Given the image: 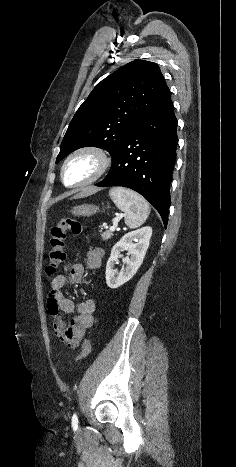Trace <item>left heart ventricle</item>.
Here are the masks:
<instances>
[{
	"label": "left heart ventricle",
	"mask_w": 236,
	"mask_h": 467,
	"mask_svg": "<svg viewBox=\"0 0 236 467\" xmlns=\"http://www.w3.org/2000/svg\"><path fill=\"white\" fill-rule=\"evenodd\" d=\"M99 167L98 160L91 154L74 157L65 168V181L68 184L80 183L91 178Z\"/></svg>",
	"instance_id": "b2bd125f"
}]
</instances>
